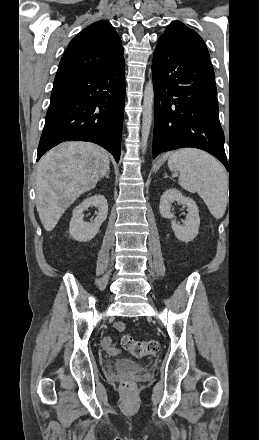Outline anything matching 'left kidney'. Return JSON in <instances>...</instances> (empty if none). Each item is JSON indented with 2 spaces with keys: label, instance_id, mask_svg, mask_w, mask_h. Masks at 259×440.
Wrapping results in <instances>:
<instances>
[{
  "label": "left kidney",
  "instance_id": "1",
  "mask_svg": "<svg viewBox=\"0 0 259 440\" xmlns=\"http://www.w3.org/2000/svg\"><path fill=\"white\" fill-rule=\"evenodd\" d=\"M187 206V216L183 221V225H178L174 218V214L171 212L172 203ZM160 214L162 217L171 220V227L178 240L182 242L192 241L198 234L200 226V217L198 206L195 201L190 197L182 195L177 189L171 188L166 190L160 199Z\"/></svg>",
  "mask_w": 259,
  "mask_h": 440
}]
</instances>
